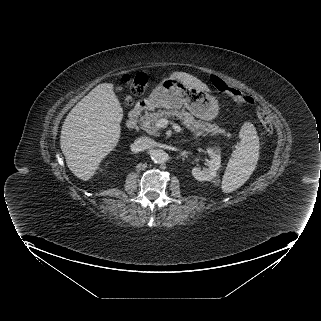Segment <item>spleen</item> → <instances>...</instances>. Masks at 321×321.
Here are the masks:
<instances>
[{
	"instance_id": "3e777b00",
	"label": "spleen",
	"mask_w": 321,
	"mask_h": 321,
	"mask_svg": "<svg viewBox=\"0 0 321 321\" xmlns=\"http://www.w3.org/2000/svg\"><path fill=\"white\" fill-rule=\"evenodd\" d=\"M240 143L232 152L222 179V191L231 193L251 176L259 158V138L254 125L245 122L239 132Z\"/></svg>"
}]
</instances>
